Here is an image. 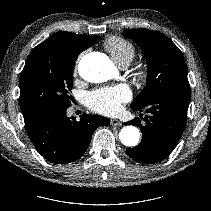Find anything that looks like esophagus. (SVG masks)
I'll list each match as a JSON object with an SVG mask.
<instances>
[{
	"label": "esophagus",
	"instance_id": "esophagus-1",
	"mask_svg": "<svg viewBox=\"0 0 211 211\" xmlns=\"http://www.w3.org/2000/svg\"><path fill=\"white\" fill-rule=\"evenodd\" d=\"M112 126H121V122L118 119H111Z\"/></svg>",
	"mask_w": 211,
	"mask_h": 211
}]
</instances>
